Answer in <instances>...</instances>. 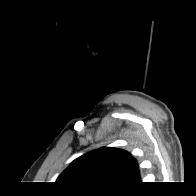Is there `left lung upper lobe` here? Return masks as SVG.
<instances>
[{
  "mask_svg": "<svg viewBox=\"0 0 196 196\" xmlns=\"http://www.w3.org/2000/svg\"><path fill=\"white\" fill-rule=\"evenodd\" d=\"M139 181L138 164L130 153L104 147L74 160L56 182L82 193H117Z\"/></svg>",
  "mask_w": 196,
  "mask_h": 196,
  "instance_id": "1",
  "label": "left lung upper lobe"
}]
</instances>
